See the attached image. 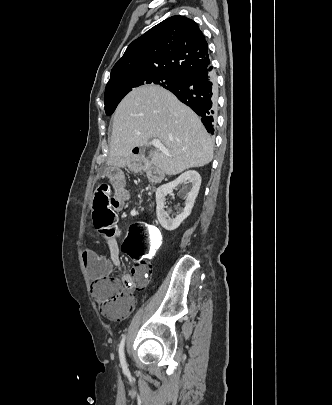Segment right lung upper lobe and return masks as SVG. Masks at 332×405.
<instances>
[{"instance_id":"right-lung-upper-lobe-1","label":"right lung upper lobe","mask_w":332,"mask_h":405,"mask_svg":"<svg viewBox=\"0 0 332 405\" xmlns=\"http://www.w3.org/2000/svg\"><path fill=\"white\" fill-rule=\"evenodd\" d=\"M208 64V44L198 25L192 19L176 15L134 40L114 65L109 82L139 72L183 77Z\"/></svg>"}]
</instances>
